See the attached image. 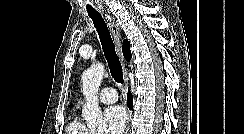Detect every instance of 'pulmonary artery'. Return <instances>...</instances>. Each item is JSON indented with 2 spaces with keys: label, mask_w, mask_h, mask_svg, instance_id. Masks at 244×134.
<instances>
[{
  "label": "pulmonary artery",
  "mask_w": 244,
  "mask_h": 134,
  "mask_svg": "<svg viewBox=\"0 0 244 134\" xmlns=\"http://www.w3.org/2000/svg\"><path fill=\"white\" fill-rule=\"evenodd\" d=\"M118 99V95L115 89L107 87L101 90L99 93V100L105 104L115 103Z\"/></svg>",
  "instance_id": "obj_1"
}]
</instances>
